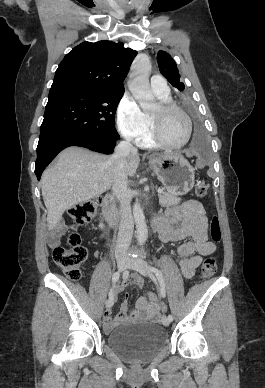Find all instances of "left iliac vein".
Returning a JSON list of instances; mask_svg holds the SVG:
<instances>
[{"instance_id": "1", "label": "left iliac vein", "mask_w": 265, "mask_h": 388, "mask_svg": "<svg viewBox=\"0 0 265 388\" xmlns=\"http://www.w3.org/2000/svg\"><path fill=\"white\" fill-rule=\"evenodd\" d=\"M127 267L141 273L144 276H151L146 262L143 261L142 259H135V258L128 259ZM162 324L164 326H169L170 320L168 319L167 316L162 317Z\"/></svg>"}]
</instances>
